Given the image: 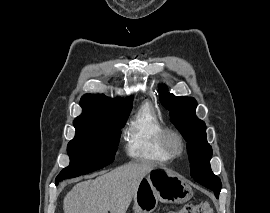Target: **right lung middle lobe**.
I'll return each instance as SVG.
<instances>
[{
	"label": "right lung middle lobe",
	"instance_id": "obj_1",
	"mask_svg": "<svg viewBox=\"0 0 270 213\" xmlns=\"http://www.w3.org/2000/svg\"><path fill=\"white\" fill-rule=\"evenodd\" d=\"M129 113L110 120L74 121L76 134L67 146L70 165L59 173L55 182L87 174L113 162L120 128Z\"/></svg>",
	"mask_w": 270,
	"mask_h": 213
}]
</instances>
